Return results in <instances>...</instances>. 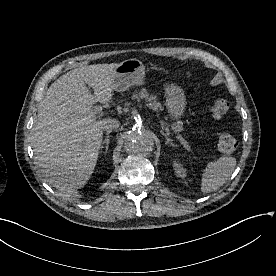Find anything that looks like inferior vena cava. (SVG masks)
Returning <instances> with one entry per match:
<instances>
[{
    "mask_svg": "<svg viewBox=\"0 0 276 276\" xmlns=\"http://www.w3.org/2000/svg\"><path fill=\"white\" fill-rule=\"evenodd\" d=\"M120 123L116 119H108L104 122L103 130L111 132L113 129H117Z\"/></svg>",
    "mask_w": 276,
    "mask_h": 276,
    "instance_id": "1",
    "label": "inferior vena cava"
}]
</instances>
